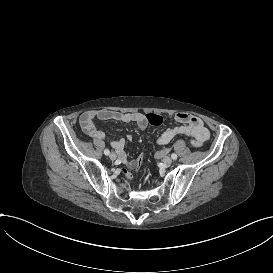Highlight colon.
<instances>
[{
    "label": "colon",
    "mask_w": 273,
    "mask_h": 273,
    "mask_svg": "<svg viewBox=\"0 0 273 273\" xmlns=\"http://www.w3.org/2000/svg\"><path fill=\"white\" fill-rule=\"evenodd\" d=\"M144 117L149 124H152L154 126H160L164 123V117L157 113H146L144 114ZM141 153L138 154L136 157V162H137L136 169L138 171H141L145 165L144 162H145L146 156Z\"/></svg>",
    "instance_id": "colon-1"
}]
</instances>
